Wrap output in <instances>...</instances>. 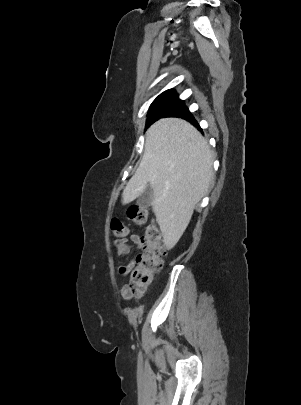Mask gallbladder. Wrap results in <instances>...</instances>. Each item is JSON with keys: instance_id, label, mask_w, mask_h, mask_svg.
Masks as SVG:
<instances>
[{"instance_id": "bac80fb5", "label": "gallbladder", "mask_w": 301, "mask_h": 405, "mask_svg": "<svg viewBox=\"0 0 301 405\" xmlns=\"http://www.w3.org/2000/svg\"><path fill=\"white\" fill-rule=\"evenodd\" d=\"M153 201V189L151 186H147V188L143 191V193L138 197L136 204L140 208H148Z\"/></svg>"}]
</instances>
